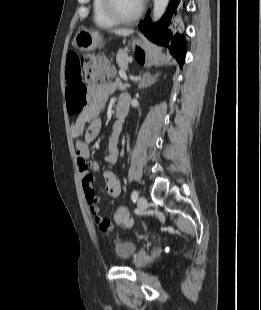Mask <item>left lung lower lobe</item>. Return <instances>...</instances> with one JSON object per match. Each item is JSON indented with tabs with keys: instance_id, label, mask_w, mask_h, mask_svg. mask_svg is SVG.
<instances>
[{
	"instance_id": "obj_1",
	"label": "left lung lower lobe",
	"mask_w": 261,
	"mask_h": 310,
	"mask_svg": "<svg viewBox=\"0 0 261 310\" xmlns=\"http://www.w3.org/2000/svg\"><path fill=\"white\" fill-rule=\"evenodd\" d=\"M182 0H171L166 14L157 23L152 24L149 18V12L143 22L139 24V29L152 42L169 47L170 53L177 59L182 67L185 59L186 46L182 35L170 26L171 17L176 14V10L181 6Z\"/></svg>"
}]
</instances>
